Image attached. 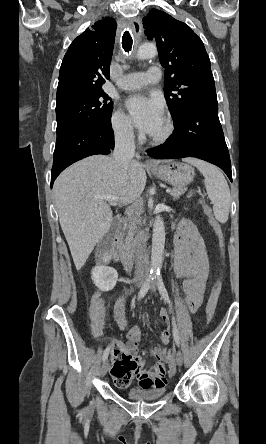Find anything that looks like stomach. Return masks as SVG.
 <instances>
[{"instance_id": "1", "label": "stomach", "mask_w": 266, "mask_h": 444, "mask_svg": "<svg viewBox=\"0 0 266 444\" xmlns=\"http://www.w3.org/2000/svg\"><path fill=\"white\" fill-rule=\"evenodd\" d=\"M149 170L157 178L177 188L187 186L194 178V169L183 162L170 161Z\"/></svg>"}]
</instances>
